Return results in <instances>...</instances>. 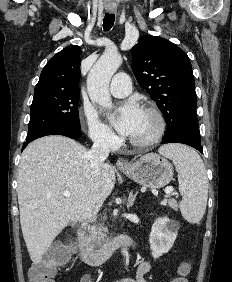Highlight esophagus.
Listing matches in <instances>:
<instances>
[{
  "label": "esophagus",
  "mask_w": 232,
  "mask_h": 282,
  "mask_svg": "<svg viewBox=\"0 0 232 282\" xmlns=\"http://www.w3.org/2000/svg\"><path fill=\"white\" fill-rule=\"evenodd\" d=\"M111 13H115V11H111ZM116 165L118 168H121V169H126L130 167V164L128 163V161L123 158H119L116 162Z\"/></svg>",
  "instance_id": "1"
}]
</instances>
